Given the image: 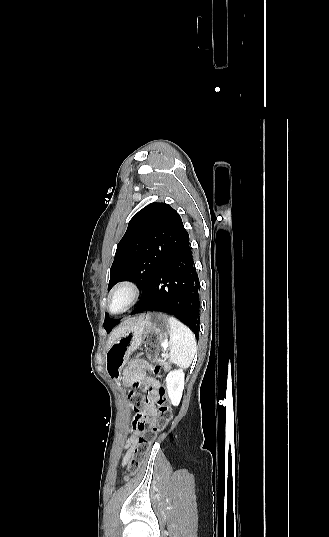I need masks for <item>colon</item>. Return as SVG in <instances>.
<instances>
[{"label": "colon", "instance_id": "1", "mask_svg": "<svg viewBox=\"0 0 329 537\" xmlns=\"http://www.w3.org/2000/svg\"><path fill=\"white\" fill-rule=\"evenodd\" d=\"M146 353L149 358L155 359L158 355V347L155 344H148L146 345ZM155 373L157 375L159 374L158 368H155ZM128 400L131 410L135 414L134 425L140 431V436L133 457L128 465L127 473L124 477L125 480L138 472L158 433L164 430L172 419V409L164 387H160L158 391V415L152 422L143 417V409L148 403V397L143 385L140 386V389L134 390L132 395H128Z\"/></svg>", "mask_w": 329, "mask_h": 537}]
</instances>
